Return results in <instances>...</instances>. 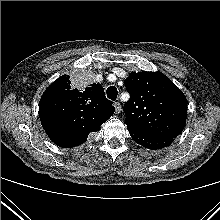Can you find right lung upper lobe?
<instances>
[{"label": "right lung upper lobe", "mask_w": 220, "mask_h": 220, "mask_svg": "<svg viewBox=\"0 0 220 220\" xmlns=\"http://www.w3.org/2000/svg\"><path fill=\"white\" fill-rule=\"evenodd\" d=\"M114 110L101 85L93 83L78 90L71 86L68 75L56 79L39 102L41 124L49 138L62 148L84 143Z\"/></svg>", "instance_id": "obj_1"}]
</instances>
